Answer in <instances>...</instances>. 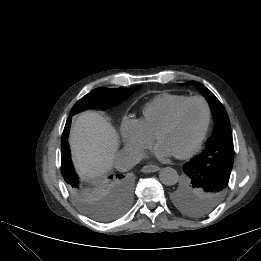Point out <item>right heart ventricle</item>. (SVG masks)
I'll return each instance as SVG.
<instances>
[{"instance_id":"e07e8e85","label":"right heart ventricle","mask_w":261,"mask_h":261,"mask_svg":"<svg viewBox=\"0 0 261 261\" xmlns=\"http://www.w3.org/2000/svg\"><path fill=\"white\" fill-rule=\"evenodd\" d=\"M187 98L184 94L162 93L145 104L138 121L147 133L155 137L174 109Z\"/></svg>"}]
</instances>
